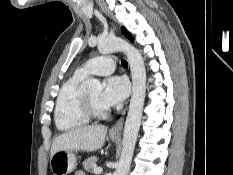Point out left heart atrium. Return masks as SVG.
Masks as SVG:
<instances>
[{
  "label": "left heart atrium",
  "instance_id": "1",
  "mask_svg": "<svg viewBox=\"0 0 233 175\" xmlns=\"http://www.w3.org/2000/svg\"><path fill=\"white\" fill-rule=\"evenodd\" d=\"M129 94L128 82L120 76L106 79L101 93V102L106 108L120 105Z\"/></svg>",
  "mask_w": 233,
  "mask_h": 175
}]
</instances>
